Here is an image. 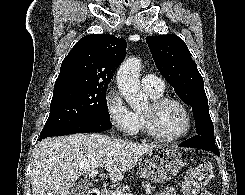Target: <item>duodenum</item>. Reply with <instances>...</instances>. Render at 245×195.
I'll return each instance as SVG.
<instances>
[{
  "label": "duodenum",
  "mask_w": 245,
  "mask_h": 195,
  "mask_svg": "<svg viewBox=\"0 0 245 195\" xmlns=\"http://www.w3.org/2000/svg\"><path fill=\"white\" fill-rule=\"evenodd\" d=\"M88 195H101V192L97 189L92 190L88 193Z\"/></svg>",
  "instance_id": "duodenum-1"
}]
</instances>
